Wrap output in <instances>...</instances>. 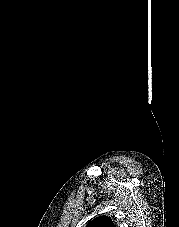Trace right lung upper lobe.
Masks as SVG:
<instances>
[{"instance_id":"right-lung-upper-lobe-1","label":"right lung upper lobe","mask_w":179,"mask_h":227,"mask_svg":"<svg viewBox=\"0 0 179 227\" xmlns=\"http://www.w3.org/2000/svg\"><path fill=\"white\" fill-rule=\"evenodd\" d=\"M86 227H116L108 216H99L90 221Z\"/></svg>"}]
</instances>
